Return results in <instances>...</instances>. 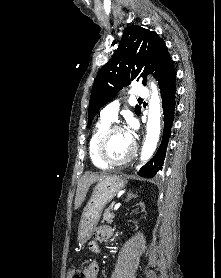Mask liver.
I'll use <instances>...</instances> for the list:
<instances>
[{
  "mask_svg": "<svg viewBox=\"0 0 221 278\" xmlns=\"http://www.w3.org/2000/svg\"><path fill=\"white\" fill-rule=\"evenodd\" d=\"M105 175H98V174H84L78 181L77 185V191L75 196V203H74V209L77 210L79 207H81L83 201L85 200L86 194L88 192L89 187L102 179H104Z\"/></svg>",
  "mask_w": 221,
  "mask_h": 278,
  "instance_id": "obj_1",
  "label": "liver"
}]
</instances>
